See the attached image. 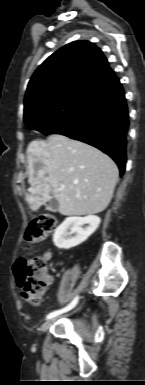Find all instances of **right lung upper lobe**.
Masks as SVG:
<instances>
[{"mask_svg":"<svg viewBox=\"0 0 145 385\" xmlns=\"http://www.w3.org/2000/svg\"><path fill=\"white\" fill-rule=\"evenodd\" d=\"M102 51L88 41H75L49 56L31 77L24 115L72 89L95 92L117 81Z\"/></svg>","mask_w":145,"mask_h":385,"instance_id":"right-lung-upper-lobe-1","label":"right lung upper lobe"}]
</instances>
